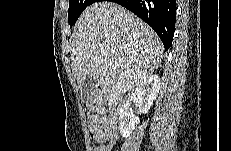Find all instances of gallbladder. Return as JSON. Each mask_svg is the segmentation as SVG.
<instances>
[{"instance_id": "bac80fb5", "label": "gallbladder", "mask_w": 231, "mask_h": 151, "mask_svg": "<svg viewBox=\"0 0 231 151\" xmlns=\"http://www.w3.org/2000/svg\"><path fill=\"white\" fill-rule=\"evenodd\" d=\"M96 96V80L91 76H87L82 86L81 99L85 103H91Z\"/></svg>"}]
</instances>
